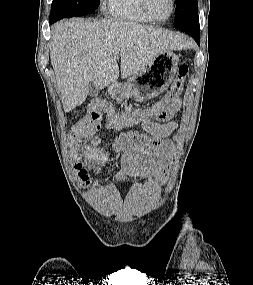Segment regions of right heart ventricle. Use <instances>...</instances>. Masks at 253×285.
Masks as SVG:
<instances>
[{
  "label": "right heart ventricle",
  "instance_id": "obj_1",
  "mask_svg": "<svg viewBox=\"0 0 253 285\" xmlns=\"http://www.w3.org/2000/svg\"><path fill=\"white\" fill-rule=\"evenodd\" d=\"M107 11L114 18L135 22H152L143 12L141 0H107Z\"/></svg>",
  "mask_w": 253,
  "mask_h": 285
}]
</instances>
